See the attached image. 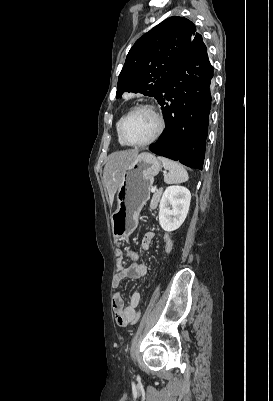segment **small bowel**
<instances>
[{
  "mask_svg": "<svg viewBox=\"0 0 273 401\" xmlns=\"http://www.w3.org/2000/svg\"><path fill=\"white\" fill-rule=\"evenodd\" d=\"M154 239V234L148 232L142 240V248H150ZM166 250L170 252L173 248V239L169 234L165 236ZM116 274L114 286L117 288L125 279H138L142 272H147L146 266L139 261V254L132 249H117L116 251ZM126 261L130 264L125 265ZM141 301V293L138 291L130 295L129 303L125 305L122 295L116 292L113 296V309L116 322L119 326H127L136 323L140 318L137 307Z\"/></svg>",
  "mask_w": 273,
  "mask_h": 401,
  "instance_id": "1",
  "label": "small bowel"
}]
</instances>
